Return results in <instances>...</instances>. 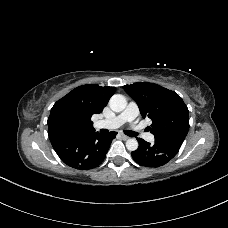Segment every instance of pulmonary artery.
<instances>
[{"label":"pulmonary artery","mask_w":228,"mask_h":228,"mask_svg":"<svg viewBox=\"0 0 228 228\" xmlns=\"http://www.w3.org/2000/svg\"><path fill=\"white\" fill-rule=\"evenodd\" d=\"M139 115V108L138 105L131 101L127 105L126 109L121 112L119 115L105 120H99L95 123L96 128H108V129H115L120 127L125 122L132 123V129L138 133L139 135H143L144 138L148 141H153L154 137L150 133H144L142 127L135 123V119Z\"/></svg>","instance_id":"pulmonary-artery-1"}]
</instances>
